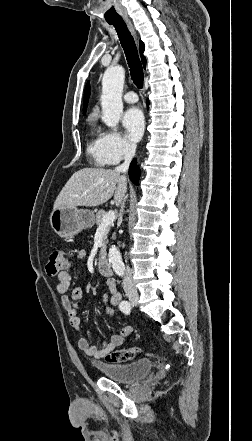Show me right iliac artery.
<instances>
[{
    "label": "right iliac artery",
    "instance_id": "right-iliac-artery-1",
    "mask_svg": "<svg viewBox=\"0 0 252 441\" xmlns=\"http://www.w3.org/2000/svg\"><path fill=\"white\" fill-rule=\"evenodd\" d=\"M126 304H130L128 301H122L121 304L119 305L120 310L125 313V306Z\"/></svg>",
    "mask_w": 252,
    "mask_h": 441
}]
</instances>
